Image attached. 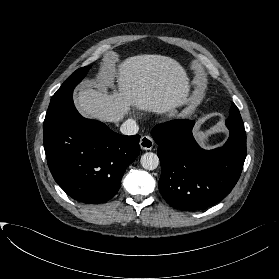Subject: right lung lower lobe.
Masks as SVG:
<instances>
[{
	"mask_svg": "<svg viewBox=\"0 0 279 279\" xmlns=\"http://www.w3.org/2000/svg\"><path fill=\"white\" fill-rule=\"evenodd\" d=\"M44 149L51 174L74 200L100 204L118 192L126 168L139 155V135L124 136L86 119L73 99L45 118Z\"/></svg>",
	"mask_w": 279,
	"mask_h": 279,
	"instance_id": "1",
	"label": "right lung lower lobe"
}]
</instances>
